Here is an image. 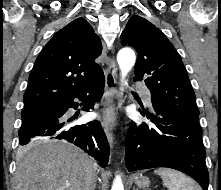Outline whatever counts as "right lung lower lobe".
<instances>
[{
	"label": "right lung lower lobe",
	"mask_w": 221,
	"mask_h": 190,
	"mask_svg": "<svg viewBox=\"0 0 221 190\" xmlns=\"http://www.w3.org/2000/svg\"><path fill=\"white\" fill-rule=\"evenodd\" d=\"M104 83L103 75L84 90L66 96L22 120L18 133L19 143L25 145L38 136L65 139L98 160L101 167H106L109 160V145L100 122L74 125L77 117H70L67 113L69 108L78 107V103L74 102L75 98L84 102V111L93 108L94 103L103 95Z\"/></svg>",
	"instance_id": "obj_1"
}]
</instances>
